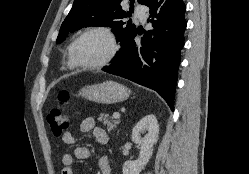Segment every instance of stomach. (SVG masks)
<instances>
[{"label": "stomach", "instance_id": "stomach-1", "mask_svg": "<svg viewBox=\"0 0 249 174\" xmlns=\"http://www.w3.org/2000/svg\"><path fill=\"white\" fill-rule=\"evenodd\" d=\"M79 95L97 103L113 104L126 100L130 95V90L117 82L106 81L83 87Z\"/></svg>", "mask_w": 249, "mask_h": 174}]
</instances>
